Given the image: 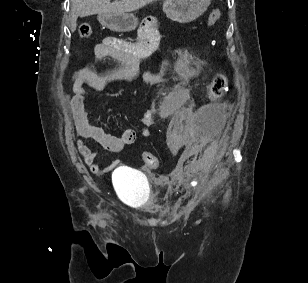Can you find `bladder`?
I'll return each instance as SVG.
<instances>
[{
  "mask_svg": "<svg viewBox=\"0 0 308 283\" xmlns=\"http://www.w3.org/2000/svg\"><path fill=\"white\" fill-rule=\"evenodd\" d=\"M113 183L120 198L134 207H144L150 198L146 177L130 168L120 167L113 173Z\"/></svg>",
  "mask_w": 308,
  "mask_h": 283,
  "instance_id": "obj_1",
  "label": "bladder"
}]
</instances>
